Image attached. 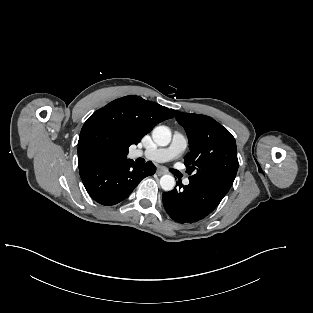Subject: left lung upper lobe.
<instances>
[{
  "label": "left lung upper lobe",
  "mask_w": 313,
  "mask_h": 313,
  "mask_svg": "<svg viewBox=\"0 0 313 313\" xmlns=\"http://www.w3.org/2000/svg\"><path fill=\"white\" fill-rule=\"evenodd\" d=\"M173 112L188 136L190 152L184 163L189 174L194 172L189 180L228 192L239 167L232 134L209 116Z\"/></svg>",
  "instance_id": "5c2ea615"
}]
</instances>
